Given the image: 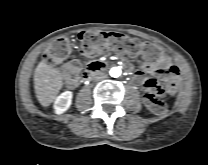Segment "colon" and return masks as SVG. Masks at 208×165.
<instances>
[{
    "label": "colon",
    "instance_id": "colon-1",
    "mask_svg": "<svg viewBox=\"0 0 208 165\" xmlns=\"http://www.w3.org/2000/svg\"><path fill=\"white\" fill-rule=\"evenodd\" d=\"M108 46L120 54L131 56L144 53L157 56L162 53L161 47L148 42H142L137 38L122 33L86 31L80 34L79 45L75 48H71L65 39L55 40L44 52L43 59L50 65H56L62 63L68 57H74L78 53L90 56L104 50ZM174 91L175 84L173 83H169L165 88L157 87L155 97L148 101L150 107L157 113H163L165 104L159 97L172 94Z\"/></svg>",
    "mask_w": 208,
    "mask_h": 165
}]
</instances>
